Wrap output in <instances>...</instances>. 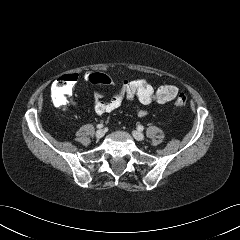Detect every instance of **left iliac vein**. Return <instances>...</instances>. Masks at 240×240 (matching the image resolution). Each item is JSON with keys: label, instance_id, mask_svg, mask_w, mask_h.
Here are the masks:
<instances>
[{"label": "left iliac vein", "instance_id": "obj_1", "mask_svg": "<svg viewBox=\"0 0 240 240\" xmlns=\"http://www.w3.org/2000/svg\"><path fill=\"white\" fill-rule=\"evenodd\" d=\"M132 135L138 141H143L145 139L144 135L139 131H133Z\"/></svg>", "mask_w": 240, "mask_h": 240}]
</instances>
